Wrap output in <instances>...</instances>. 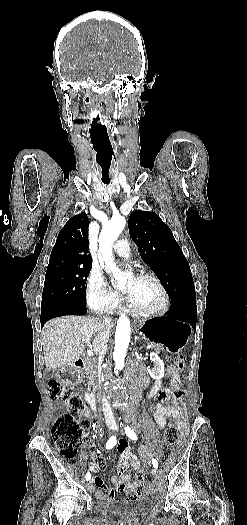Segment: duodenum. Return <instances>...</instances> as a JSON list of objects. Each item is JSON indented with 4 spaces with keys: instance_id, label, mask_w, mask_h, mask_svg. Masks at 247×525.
Returning a JSON list of instances; mask_svg holds the SVG:
<instances>
[{
    "instance_id": "duodenum-1",
    "label": "duodenum",
    "mask_w": 247,
    "mask_h": 525,
    "mask_svg": "<svg viewBox=\"0 0 247 525\" xmlns=\"http://www.w3.org/2000/svg\"><path fill=\"white\" fill-rule=\"evenodd\" d=\"M85 368V361L81 358L76 359L73 361L71 368L66 370L63 373V376L66 378L67 381L70 383H75L77 381V374L81 372ZM85 398L87 401L88 406L93 410H97V400L96 397L90 393L86 392Z\"/></svg>"
}]
</instances>
